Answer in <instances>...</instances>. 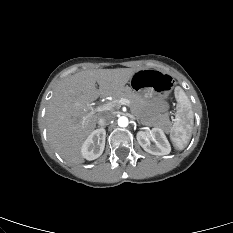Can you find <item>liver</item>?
Listing matches in <instances>:
<instances>
[{
	"instance_id": "1",
	"label": "liver",
	"mask_w": 233,
	"mask_h": 233,
	"mask_svg": "<svg viewBox=\"0 0 233 233\" xmlns=\"http://www.w3.org/2000/svg\"><path fill=\"white\" fill-rule=\"evenodd\" d=\"M137 71L132 68L85 70L58 84L47 108L46 122L48 138L63 159L73 164L84 162L82 144L103 114L92 115L83 125V118L90 112L89 103L99 96L119 95Z\"/></svg>"
}]
</instances>
